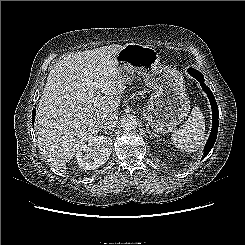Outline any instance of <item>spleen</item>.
I'll return each mask as SVG.
<instances>
[{
    "label": "spleen",
    "mask_w": 245,
    "mask_h": 245,
    "mask_svg": "<svg viewBox=\"0 0 245 245\" xmlns=\"http://www.w3.org/2000/svg\"><path fill=\"white\" fill-rule=\"evenodd\" d=\"M205 137V120L199 107L193 108L188 120L172 133L173 144L182 151H197Z\"/></svg>",
    "instance_id": "1"
}]
</instances>
